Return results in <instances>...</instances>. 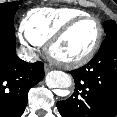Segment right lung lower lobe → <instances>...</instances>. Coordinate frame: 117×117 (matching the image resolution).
<instances>
[{
	"mask_svg": "<svg viewBox=\"0 0 117 117\" xmlns=\"http://www.w3.org/2000/svg\"><path fill=\"white\" fill-rule=\"evenodd\" d=\"M14 25L0 21V117H20L28 92L44 77V64L27 63L16 55Z\"/></svg>",
	"mask_w": 117,
	"mask_h": 117,
	"instance_id": "obj_1",
	"label": "right lung lower lobe"
}]
</instances>
